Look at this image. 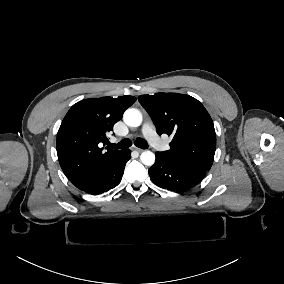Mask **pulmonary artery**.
<instances>
[{
    "label": "pulmonary artery",
    "mask_w": 284,
    "mask_h": 284,
    "mask_svg": "<svg viewBox=\"0 0 284 284\" xmlns=\"http://www.w3.org/2000/svg\"><path fill=\"white\" fill-rule=\"evenodd\" d=\"M156 126L154 122L147 120L143 122L141 131L146 137V140L151 143L152 147L161 152H166L169 149V143L161 138L156 132H154Z\"/></svg>",
    "instance_id": "1"
}]
</instances>
